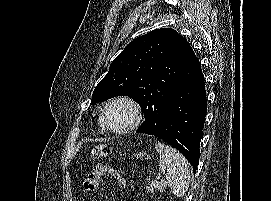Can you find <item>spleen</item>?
<instances>
[{"mask_svg":"<svg viewBox=\"0 0 271 201\" xmlns=\"http://www.w3.org/2000/svg\"><path fill=\"white\" fill-rule=\"evenodd\" d=\"M155 148L160 155L159 170L165 175L172 193L183 197L190 183V171L186 158L175 148L164 143H156Z\"/></svg>","mask_w":271,"mask_h":201,"instance_id":"spleen-1","label":"spleen"}]
</instances>
